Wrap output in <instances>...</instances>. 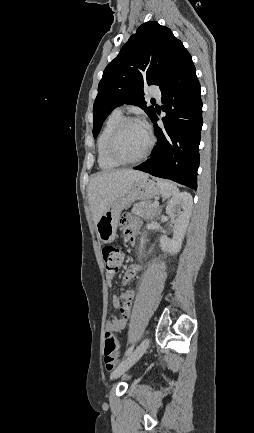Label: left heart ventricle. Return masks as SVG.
Segmentation results:
<instances>
[{"mask_svg": "<svg viewBox=\"0 0 254 433\" xmlns=\"http://www.w3.org/2000/svg\"><path fill=\"white\" fill-rule=\"evenodd\" d=\"M147 143L146 129L140 123H129L118 135L115 148L123 159H134L143 152Z\"/></svg>", "mask_w": 254, "mask_h": 433, "instance_id": "b2bd125f", "label": "left heart ventricle"}]
</instances>
